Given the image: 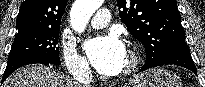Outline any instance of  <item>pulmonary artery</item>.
Instances as JSON below:
<instances>
[{"mask_svg": "<svg viewBox=\"0 0 205 87\" xmlns=\"http://www.w3.org/2000/svg\"><path fill=\"white\" fill-rule=\"evenodd\" d=\"M111 20V14L109 10L102 8L99 9L95 15L92 17L90 24L96 29H101L106 27Z\"/></svg>", "mask_w": 205, "mask_h": 87, "instance_id": "obj_1", "label": "pulmonary artery"}]
</instances>
